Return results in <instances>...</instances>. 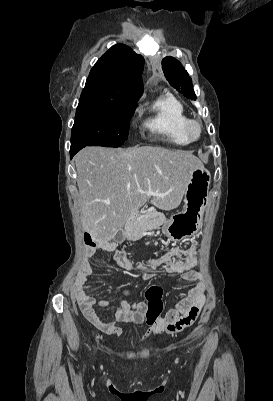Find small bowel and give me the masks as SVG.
Instances as JSON below:
<instances>
[{
    "label": "small bowel",
    "mask_w": 273,
    "mask_h": 401,
    "mask_svg": "<svg viewBox=\"0 0 273 401\" xmlns=\"http://www.w3.org/2000/svg\"><path fill=\"white\" fill-rule=\"evenodd\" d=\"M95 246L93 260H85L88 263L87 269L81 271H91L98 267L104 253H111L115 264L126 272H139L142 279L156 277L151 271L161 267L166 273H176L180 279L168 283V291L181 288L187 284L195 283L188 294L176 303L175 307L169 310L165 316L160 317L148 330V336L161 334H173L181 331L191 325L198 317L201 309L206 302V284L199 271L192 265L197 259V252L194 246L190 248L175 247L170 252L149 259L145 262L134 263L128 257L125 250L119 249L113 241L100 243H88ZM112 291V287L108 286ZM131 288L126 287L121 292V300L118 304H113L111 299H102L95 301L94 290H81L77 292L76 303L79 304L84 317L99 330L105 334L120 337L122 329L120 323L143 324L144 313L147 304L143 301L131 302L129 297ZM95 302V303H94ZM97 308L111 310L114 315L113 320L102 318Z\"/></svg>",
    "instance_id": "1"
}]
</instances>
